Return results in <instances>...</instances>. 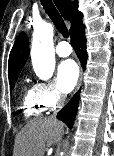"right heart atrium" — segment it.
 Wrapping results in <instances>:
<instances>
[{"mask_svg":"<svg viewBox=\"0 0 114 156\" xmlns=\"http://www.w3.org/2000/svg\"><path fill=\"white\" fill-rule=\"evenodd\" d=\"M34 87L38 100L42 103L45 109L55 108L64 100L63 94L53 82H39Z\"/></svg>","mask_w":114,"mask_h":156,"instance_id":"1","label":"right heart atrium"}]
</instances>
